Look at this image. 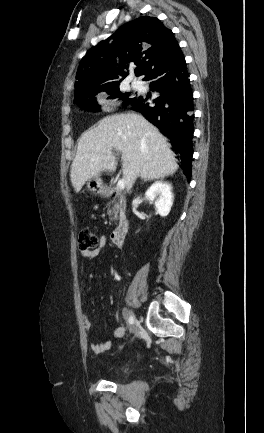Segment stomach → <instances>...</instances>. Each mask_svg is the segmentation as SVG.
<instances>
[{"mask_svg": "<svg viewBox=\"0 0 264 433\" xmlns=\"http://www.w3.org/2000/svg\"><path fill=\"white\" fill-rule=\"evenodd\" d=\"M87 188L93 194H105L106 188L103 185L102 180L99 177H94L88 180Z\"/></svg>", "mask_w": 264, "mask_h": 433, "instance_id": "0dacf381", "label": "stomach"}]
</instances>
